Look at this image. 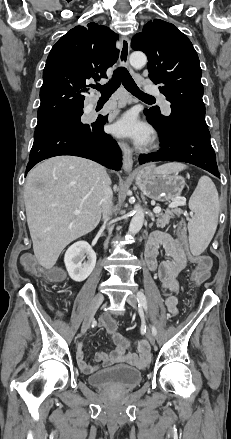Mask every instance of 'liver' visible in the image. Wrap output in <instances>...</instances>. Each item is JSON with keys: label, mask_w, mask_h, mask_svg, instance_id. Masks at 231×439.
I'll return each instance as SVG.
<instances>
[{"label": "liver", "mask_w": 231, "mask_h": 439, "mask_svg": "<svg viewBox=\"0 0 231 439\" xmlns=\"http://www.w3.org/2000/svg\"><path fill=\"white\" fill-rule=\"evenodd\" d=\"M106 176L104 167L76 156L49 158L28 173L24 188L27 223L42 267L51 269L68 244L99 224ZM77 209L79 214H75Z\"/></svg>", "instance_id": "6515ba94"}]
</instances>
